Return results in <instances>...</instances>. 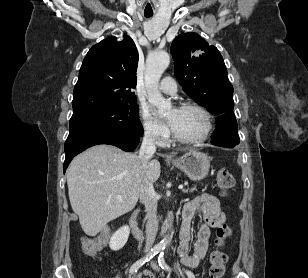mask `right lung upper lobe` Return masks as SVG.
I'll return each mask as SVG.
<instances>
[{
    "label": "right lung upper lobe",
    "instance_id": "right-lung-upper-lobe-1",
    "mask_svg": "<svg viewBox=\"0 0 308 278\" xmlns=\"http://www.w3.org/2000/svg\"><path fill=\"white\" fill-rule=\"evenodd\" d=\"M138 51L133 40L108 37L83 60L73 92V115L122 103H136ZM72 115V116H73Z\"/></svg>",
    "mask_w": 308,
    "mask_h": 278
}]
</instances>
